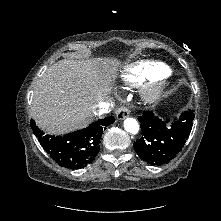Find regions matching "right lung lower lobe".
<instances>
[{"label":"right lung lower lobe","mask_w":221,"mask_h":221,"mask_svg":"<svg viewBox=\"0 0 221 221\" xmlns=\"http://www.w3.org/2000/svg\"><path fill=\"white\" fill-rule=\"evenodd\" d=\"M114 121V117L99 119L87 128L65 136L44 135L33 120L30 125L41 146L53 160L62 167L79 169L92 162L100 149L103 131Z\"/></svg>","instance_id":"obj_1"}]
</instances>
